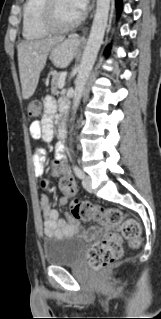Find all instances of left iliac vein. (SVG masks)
I'll return each mask as SVG.
<instances>
[{"instance_id":"left-iliac-vein-1","label":"left iliac vein","mask_w":161,"mask_h":319,"mask_svg":"<svg viewBox=\"0 0 161 319\" xmlns=\"http://www.w3.org/2000/svg\"><path fill=\"white\" fill-rule=\"evenodd\" d=\"M82 185L85 190H87L88 192H92L91 178L84 177L82 180Z\"/></svg>"}]
</instances>
